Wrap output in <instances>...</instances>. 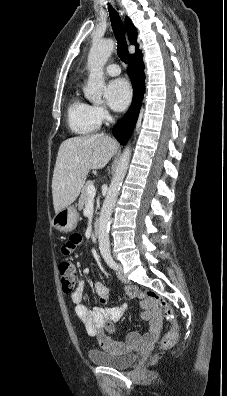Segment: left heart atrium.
I'll list each match as a JSON object with an SVG mask.
<instances>
[{
    "label": "left heart atrium",
    "instance_id": "obj_1",
    "mask_svg": "<svg viewBox=\"0 0 227 396\" xmlns=\"http://www.w3.org/2000/svg\"><path fill=\"white\" fill-rule=\"evenodd\" d=\"M131 88L128 82L122 78L112 80L105 89V100L115 111L124 110L131 100Z\"/></svg>",
    "mask_w": 227,
    "mask_h": 396
}]
</instances>
